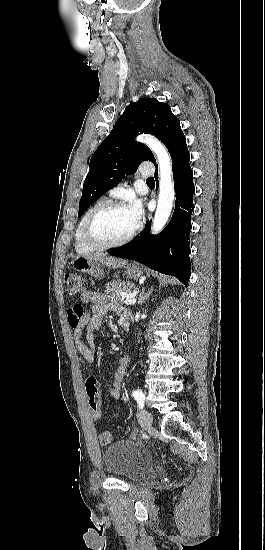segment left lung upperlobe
Listing matches in <instances>:
<instances>
[{
	"label": "left lung upper lobe",
	"mask_w": 265,
	"mask_h": 550,
	"mask_svg": "<svg viewBox=\"0 0 265 550\" xmlns=\"http://www.w3.org/2000/svg\"><path fill=\"white\" fill-rule=\"evenodd\" d=\"M143 132L161 140L170 156L186 141L179 119L167 104L155 98H141L128 105L90 160L78 216L116 186L125 174L135 173L141 162L149 160L157 167L151 150L144 144L133 143V137Z\"/></svg>",
	"instance_id": "1"
}]
</instances>
